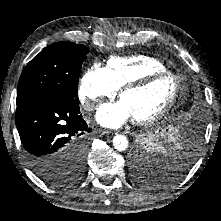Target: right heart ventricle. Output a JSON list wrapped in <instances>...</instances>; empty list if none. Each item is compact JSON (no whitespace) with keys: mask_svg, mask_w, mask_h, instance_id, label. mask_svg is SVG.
I'll return each mask as SVG.
<instances>
[{"mask_svg":"<svg viewBox=\"0 0 221 221\" xmlns=\"http://www.w3.org/2000/svg\"><path fill=\"white\" fill-rule=\"evenodd\" d=\"M165 70L167 67L163 62L143 54L111 57L106 67L107 74L117 89L147 74Z\"/></svg>","mask_w":221,"mask_h":221,"instance_id":"e07e8e85","label":"right heart ventricle"}]
</instances>
